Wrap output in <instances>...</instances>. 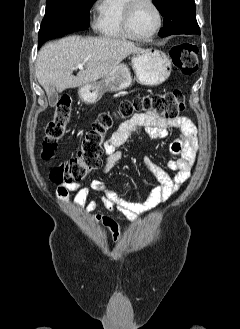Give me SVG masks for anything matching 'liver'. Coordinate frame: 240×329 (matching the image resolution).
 I'll return each instance as SVG.
<instances>
[{
  "mask_svg": "<svg viewBox=\"0 0 240 329\" xmlns=\"http://www.w3.org/2000/svg\"><path fill=\"white\" fill-rule=\"evenodd\" d=\"M142 51L133 42L107 37L68 36L42 47L35 64L40 85L51 93L95 82L132 53ZM78 64L84 70L73 75Z\"/></svg>",
  "mask_w": 240,
  "mask_h": 329,
  "instance_id": "6515ba94",
  "label": "liver"
}]
</instances>
